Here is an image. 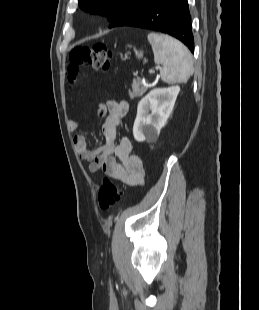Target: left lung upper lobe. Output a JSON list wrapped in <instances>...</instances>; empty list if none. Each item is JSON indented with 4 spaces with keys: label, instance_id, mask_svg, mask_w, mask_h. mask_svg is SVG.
<instances>
[{
    "label": "left lung upper lobe",
    "instance_id": "obj_1",
    "mask_svg": "<svg viewBox=\"0 0 259 310\" xmlns=\"http://www.w3.org/2000/svg\"><path fill=\"white\" fill-rule=\"evenodd\" d=\"M150 0H78L82 10L91 14H98L108 18L113 27L131 10Z\"/></svg>",
    "mask_w": 259,
    "mask_h": 310
}]
</instances>
